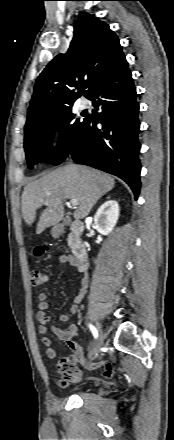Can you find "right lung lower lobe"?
Masks as SVG:
<instances>
[{
  "label": "right lung lower lobe",
  "instance_id": "98d812e1",
  "mask_svg": "<svg viewBox=\"0 0 174 440\" xmlns=\"http://www.w3.org/2000/svg\"><path fill=\"white\" fill-rule=\"evenodd\" d=\"M136 96L125 61L107 75L89 97L102 112L95 117L90 114L85 116L83 129L68 154L78 164L120 177L131 187L135 198L140 190L141 170ZM97 124H101L102 128H98Z\"/></svg>",
  "mask_w": 174,
  "mask_h": 440
}]
</instances>
